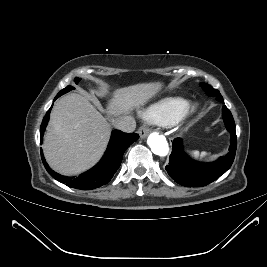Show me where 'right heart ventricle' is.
I'll return each mask as SVG.
<instances>
[{
  "instance_id": "e07e8e85",
  "label": "right heart ventricle",
  "mask_w": 267,
  "mask_h": 267,
  "mask_svg": "<svg viewBox=\"0 0 267 267\" xmlns=\"http://www.w3.org/2000/svg\"><path fill=\"white\" fill-rule=\"evenodd\" d=\"M186 106V99L170 97L152 104L142 114L145 119L153 123L167 126L177 121Z\"/></svg>"
}]
</instances>
